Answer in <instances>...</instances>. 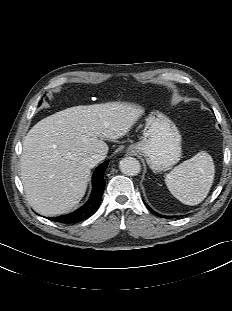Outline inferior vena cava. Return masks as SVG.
<instances>
[{
    "mask_svg": "<svg viewBox=\"0 0 232 311\" xmlns=\"http://www.w3.org/2000/svg\"><path fill=\"white\" fill-rule=\"evenodd\" d=\"M105 155L103 154H93L92 156L88 157L86 159V164L90 167L93 168L95 165H97L99 162L105 159Z\"/></svg>",
    "mask_w": 232,
    "mask_h": 311,
    "instance_id": "obj_1",
    "label": "inferior vena cava"
}]
</instances>
